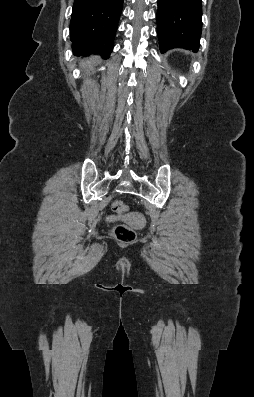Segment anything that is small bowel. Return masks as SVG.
I'll return each instance as SVG.
<instances>
[{"mask_svg":"<svg viewBox=\"0 0 254 397\" xmlns=\"http://www.w3.org/2000/svg\"><path fill=\"white\" fill-rule=\"evenodd\" d=\"M107 220L109 222H113V221L117 220V217L116 216H109V217H107Z\"/></svg>","mask_w":254,"mask_h":397,"instance_id":"obj_1","label":"small bowel"}]
</instances>
